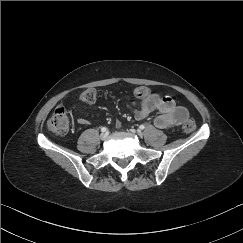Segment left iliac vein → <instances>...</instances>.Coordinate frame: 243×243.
I'll use <instances>...</instances> for the list:
<instances>
[{
  "instance_id": "left-iliac-vein-1",
  "label": "left iliac vein",
  "mask_w": 243,
  "mask_h": 243,
  "mask_svg": "<svg viewBox=\"0 0 243 243\" xmlns=\"http://www.w3.org/2000/svg\"><path fill=\"white\" fill-rule=\"evenodd\" d=\"M138 135H139V136H142V133H141V132H138Z\"/></svg>"
}]
</instances>
